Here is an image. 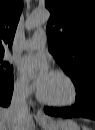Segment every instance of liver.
Segmentation results:
<instances>
[{"instance_id":"obj_1","label":"liver","mask_w":95,"mask_h":130,"mask_svg":"<svg viewBox=\"0 0 95 130\" xmlns=\"http://www.w3.org/2000/svg\"><path fill=\"white\" fill-rule=\"evenodd\" d=\"M0 130H35V122L30 113L18 123L9 108H0Z\"/></svg>"}]
</instances>
